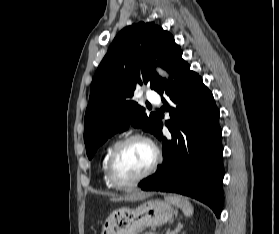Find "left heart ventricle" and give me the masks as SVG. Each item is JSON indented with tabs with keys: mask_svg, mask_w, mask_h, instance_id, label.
I'll return each instance as SVG.
<instances>
[{
	"mask_svg": "<svg viewBox=\"0 0 279 234\" xmlns=\"http://www.w3.org/2000/svg\"><path fill=\"white\" fill-rule=\"evenodd\" d=\"M154 152L150 145L142 141H132L119 152L114 173L119 181H130L143 174L151 165Z\"/></svg>",
	"mask_w": 279,
	"mask_h": 234,
	"instance_id": "b2bd125f",
	"label": "left heart ventricle"
}]
</instances>
